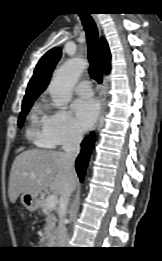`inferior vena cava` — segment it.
I'll use <instances>...</instances> for the list:
<instances>
[{"instance_id": "inferior-vena-cava-1", "label": "inferior vena cava", "mask_w": 162, "mask_h": 261, "mask_svg": "<svg viewBox=\"0 0 162 261\" xmlns=\"http://www.w3.org/2000/svg\"><path fill=\"white\" fill-rule=\"evenodd\" d=\"M82 141V133L79 131H75L70 136L67 143L63 146V156L67 162V164L71 167H74V162L77 155L80 152V143ZM74 188L66 190L61 196V204L64 209L60 216V236H59V247H66L67 244V230L65 227V214H66V206L68 204L69 197L73 192Z\"/></svg>"}]
</instances>
